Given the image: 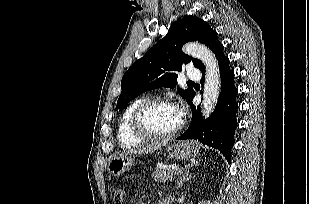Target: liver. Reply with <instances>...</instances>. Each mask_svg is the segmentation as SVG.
<instances>
[{
  "label": "liver",
  "mask_w": 309,
  "mask_h": 204,
  "mask_svg": "<svg viewBox=\"0 0 309 204\" xmlns=\"http://www.w3.org/2000/svg\"><path fill=\"white\" fill-rule=\"evenodd\" d=\"M167 144V141H161V142H156L153 144H149L147 146H144L142 148L139 149H133L128 151L126 154H143V153H151L155 150H159L161 149L163 146H165Z\"/></svg>",
  "instance_id": "obj_1"
}]
</instances>
